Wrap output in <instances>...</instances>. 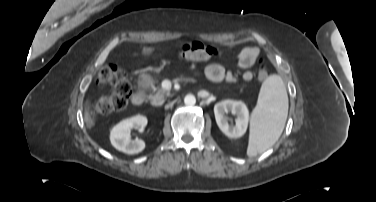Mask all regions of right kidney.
<instances>
[{
	"label": "right kidney",
	"instance_id": "ca27d5eb",
	"mask_svg": "<svg viewBox=\"0 0 376 202\" xmlns=\"http://www.w3.org/2000/svg\"><path fill=\"white\" fill-rule=\"evenodd\" d=\"M146 125L147 118L143 115H136L120 121L110 132L111 144L126 154L140 153L145 148V142L138 138L131 141L130 131L133 128L143 130Z\"/></svg>",
	"mask_w": 376,
	"mask_h": 202
}]
</instances>
